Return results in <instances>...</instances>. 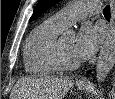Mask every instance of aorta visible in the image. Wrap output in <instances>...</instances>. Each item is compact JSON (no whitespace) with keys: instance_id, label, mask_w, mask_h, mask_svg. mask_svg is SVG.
<instances>
[{"instance_id":"762f6f07","label":"aorta","mask_w":115,"mask_h":99,"mask_svg":"<svg viewBox=\"0 0 115 99\" xmlns=\"http://www.w3.org/2000/svg\"><path fill=\"white\" fill-rule=\"evenodd\" d=\"M112 3L114 1H111ZM115 13V7L112 6ZM115 64V24L111 27L109 34L100 51L96 65V79L100 87Z\"/></svg>"}]
</instances>
